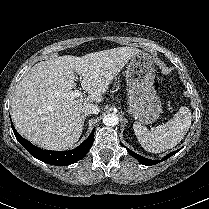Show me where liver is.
<instances>
[{
  "label": "liver",
  "instance_id": "6515ba94",
  "mask_svg": "<svg viewBox=\"0 0 209 209\" xmlns=\"http://www.w3.org/2000/svg\"><path fill=\"white\" fill-rule=\"evenodd\" d=\"M139 52L133 47H118L82 57L64 55L38 62L19 82L11 101L15 127L38 147L72 148L82 134L84 105L100 103L117 73ZM74 72L80 75L88 97L61 96L76 87Z\"/></svg>",
  "mask_w": 209,
  "mask_h": 209
}]
</instances>
